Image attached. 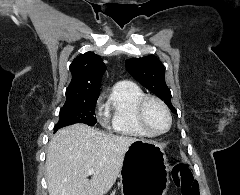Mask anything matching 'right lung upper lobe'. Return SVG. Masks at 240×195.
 <instances>
[{
    "label": "right lung upper lobe",
    "mask_w": 240,
    "mask_h": 195,
    "mask_svg": "<svg viewBox=\"0 0 240 195\" xmlns=\"http://www.w3.org/2000/svg\"><path fill=\"white\" fill-rule=\"evenodd\" d=\"M72 80L66 90V99L98 97L105 65L100 56L86 52L70 65Z\"/></svg>",
    "instance_id": "right-lung-upper-lobe-1"
}]
</instances>
